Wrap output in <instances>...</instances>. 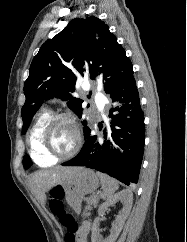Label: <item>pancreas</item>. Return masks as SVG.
<instances>
[{"instance_id": "pancreas-1", "label": "pancreas", "mask_w": 187, "mask_h": 242, "mask_svg": "<svg viewBox=\"0 0 187 242\" xmlns=\"http://www.w3.org/2000/svg\"><path fill=\"white\" fill-rule=\"evenodd\" d=\"M99 198L94 195L86 199L87 206L85 207L86 211H89L92 209V207H97Z\"/></svg>"}]
</instances>
